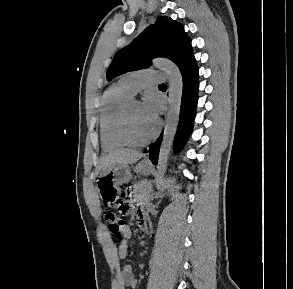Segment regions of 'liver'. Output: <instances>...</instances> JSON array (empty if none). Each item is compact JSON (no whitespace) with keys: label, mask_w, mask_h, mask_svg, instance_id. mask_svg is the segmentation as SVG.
I'll return each mask as SVG.
<instances>
[{"label":"liver","mask_w":293,"mask_h":289,"mask_svg":"<svg viewBox=\"0 0 293 289\" xmlns=\"http://www.w3.org/2000/svg\"><path fill=\"white\" fill-rule=\"evenodd\" d=\"M142 157V153L136 150L119 149L105 155L101 159V169L103 174L114 165H128L136 163Z\"/></svg>","instance_id":"obj_1"}]
</instances>
